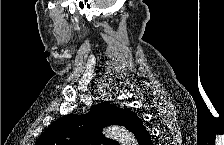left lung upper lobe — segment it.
I'll list each match as a JSON object with an SVG mask.
<instances>
[{
	"label": "left lung upper lobe",
	"mask_w": 224,
	"mask_h": 145,
	"mask_svg": "<svg viewBox=\"0 0 224 145\" xmlns=\"http://www.w3.org/2000/svg\"><path fill=\"white\" fill-rule=\"evenodd\" d=\"M135 113L121 109L109 102H101L92 107L88 114L78 116L69 114L51 124L39 138L37 145H118L105 138L101 131L111 124L121 125L131 131Z\"/></svg>",
	"instance_id": "5c2ea615"
}]
</instances>
